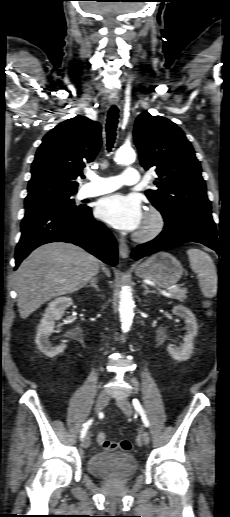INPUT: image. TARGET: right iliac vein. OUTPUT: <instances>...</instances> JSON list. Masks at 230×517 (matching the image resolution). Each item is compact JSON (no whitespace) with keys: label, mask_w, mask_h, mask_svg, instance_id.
<instances>
[{"label":"right iliac vein","mask_w":230,"mask_h":517,"mask_svg":"<svg viewBox=\"0 0 230 517\" xmlns=\"http://www.w3.org/2000/svg\"><path fill=\"white\" fill-rule=\"evenodd\" d=\"M108 401H109V395H108L107 391H105V390L101 391V393L99 394V396L97 398L96 405H95L96 413H100L106 407V405L108 404ZM89 446H90V435H89V433H87L83 439L82 447L87 449Z\"/></svg>","instance_id":"right-iliac-vein-1"}]
</instances>
